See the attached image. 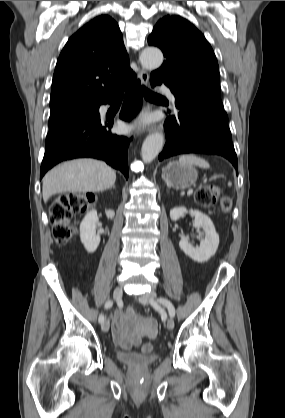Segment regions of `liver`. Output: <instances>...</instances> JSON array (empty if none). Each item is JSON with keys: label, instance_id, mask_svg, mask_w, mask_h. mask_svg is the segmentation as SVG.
Returning <instances> with one entry per match:
<instances>
[{"label": "liver", "instance_id": "liver-1", "mask_svg": "<svg viewBox=\"0 0 285 418\" xmlns=\"http://www.w3.org/2000/svg\"><path fill=\"white\" fill-rule=\"evenodd\" d=\"M116 172L106 163L94 159H77L62 163L43 178V200L63 192H99L114 186Z\"/></svg>", "mask_w": 285, "mask_h": 418}]
</instances>
